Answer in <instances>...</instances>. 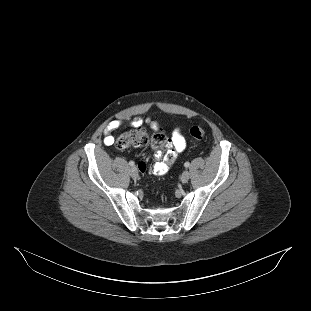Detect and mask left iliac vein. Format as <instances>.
<instances>
[{
	"label": "left iliac vein",
	"instance_id": "obj_1",
	"mask_svg": "<svg viewBox=\"0 0 311 311\" xmlns=\"http://www.w3.org/2000/svg\"><path fill=\"white\" fill-rule=\"evenodd\" d=\"M189 178H190V173L188 171H184L180 179L182 183H187Z\"/></svg>",
	"mask_w": 311,
	"mask_h": 311
}]
</instances>
